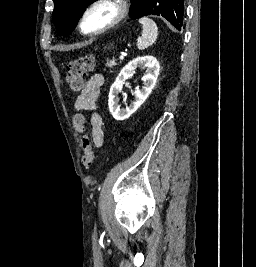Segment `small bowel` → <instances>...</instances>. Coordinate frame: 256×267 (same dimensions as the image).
Masks as SVG:
<instances>
[{
    "instance_id": "1",
    "label": "small bowel",
    "mask_w": 256,
    "mask_h": 267,
    "mask_svg": "<svg viewBox=\"0 0 256 267\" xmlns=\"http://www.w3.org/2000/svg\"><path fill=\"white\" fill-rule=\"evenodd\" d=\"M104 83L102 74H93L86 81L75 101V107L80 111H93L96 108V101L99 96V90ZM91 124V140L95 147L100 148L104 142L103 123L101 117L97 113H93L90 117ZM89 140V139H88ZM91 147V143L89 141Z\"/></svg>"
}]
</instances>
